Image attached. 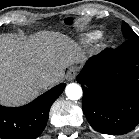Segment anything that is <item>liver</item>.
<instances>
[{
    "mask_svg": "<svg viewBox=\"0 0 139 139\" xmlns=\"http://www.w3.org/2000/svg\"><path fill=\"white\" fill-rule=\"evenodd\" d=\"M84 60L80 46L69 37L43 31L28 40L0 36V104L18 106L34 99L42 75L59 83L64 70Z\"/></svg>",
    "mask_w": 139,
    "mask_h": 139,
    "instance_id": "liver-1",
    "label": "liver"
}]
</instances>
